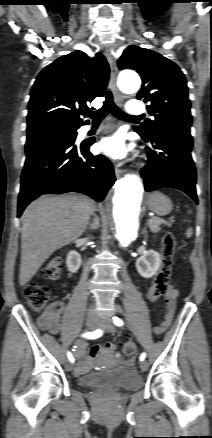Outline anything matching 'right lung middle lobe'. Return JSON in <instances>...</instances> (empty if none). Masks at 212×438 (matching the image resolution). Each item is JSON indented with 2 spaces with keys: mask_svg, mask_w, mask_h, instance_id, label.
I'll return each mask as SVG.
<instances>
[{
  "mask_svg": "<svg viewBox=\"0 0 212 438\" xmlns=\"http://www.w3.org/2000/svg\"><path fill=\"white\" fill-rule=\"evenodd\" d=\"M52 127H55V126H49V127H44V128L34 129V130L27 131V132H28V134H29V133H32V132H37V131H41V130L48 129V128H52ZM77 129H78V127L64 126V130H65L66 132H69V133H76V130H77Z\"/></svg>",
  "mask_w": 212,
  "mask_h": 438,
  "instance_id": "right-lung-middle-lobe-1",
  "label": "right lung middle lobe"
}]
</instances>
